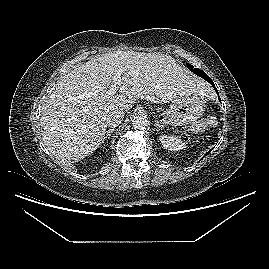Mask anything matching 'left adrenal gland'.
Segmentation results:
<instances>
[{"mask_svg": "<svg viewBox=\"0 0 269 269\" xmlns=\"http://www.w3.org/2000/svg\"><path fill=\"white\" fill-rule=\"evenodd\" d=\"M155 126L157 131L164 128V125L160 124L158 120H155Z\"/></svg>", "mask_w": 269, "mask_h": 269, "instance_id": "a2214340", "label": "left adrenal gland"}]
</instances>
